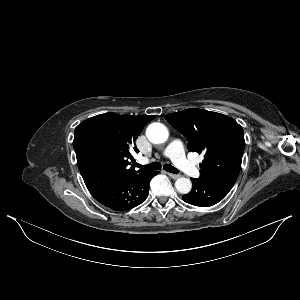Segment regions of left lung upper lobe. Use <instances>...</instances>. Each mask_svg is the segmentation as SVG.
I'll list each match as a JSON object with an SVG mask.
<instances>
[{
	"instance_id": "5c2ea615",
	"label": "left lung upper lobe",
	"mask_w": 300,
	"mask_h": 300,
	"mask_svg": "<svg viewBox=\"0 0 300 300\" xmlns=\"http://www.w3.org/2000/svg\"><path fill=\"white\" fill-rule=\"evenodd\" d=\"M165 119L188 137L190 152L205 155L199 178L231 189L245 146L242 127L226 115L196 108L168 114Z\"/></svg>"
}]
</instances>
